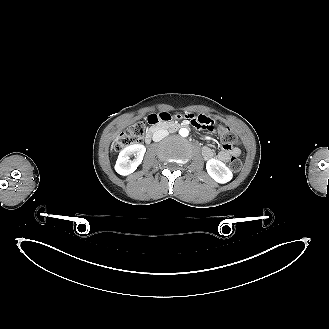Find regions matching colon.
Instances as JSON below:
<instances>
[{
	"label": "colon",
	"instance_id": "1",
	"mask_svg": "<svg viewBox=\"0 0 329 329\" xmlns=\"http://www.w3.org/2000/svg\"><path fill=\"white\" fill-rule=\"evenodd\" d=\"M165 114H169V113L162 112L163 116H165ZM191 125H193V124H191ZM214 130H216L217 134L219 135V137L223 143V147L231 148L233 145L238 143L237 135L229 127L219 125L218 128H216ZM144 131H145V125L143 123H138L134 126L127 128L123 133H121L118 140L116 141L115 151L119 152L131 145H134V144L140 142V140L142 139V136L144 134ZM229 167L234 172L239 171L242 167L241 159L236 156L231 157V159L229 161Z\"/></svg>",
	"mask_w": 329,
	"mask_h": 329
}]
</instances>
